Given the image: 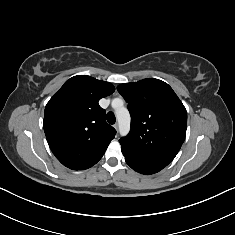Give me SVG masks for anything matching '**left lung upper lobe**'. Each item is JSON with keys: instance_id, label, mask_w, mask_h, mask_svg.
<instances>
[{"instance_id": "5c2ea615", "label": "left lung upper lobe", "mask_w": 235, "mask_h": 235, "mask_svg": "<svg viewBox=\"0 0 235 235\" xmlns=\"http://www.w3.org/2000/svg\"><path fill=\"white\" fill-rule=\"evenodd\" d=\"M128 103L130 133L119 140L123 149L148 160L168 165L186 135L187 112L172 88L148 78L117 87Z\"/></svg>"}]
</instances>
